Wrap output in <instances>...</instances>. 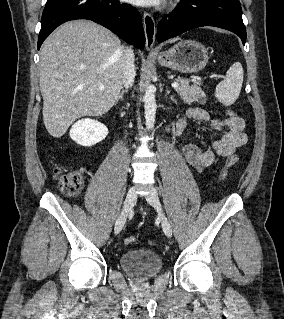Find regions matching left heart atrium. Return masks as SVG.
Listing matches in <instances>:
<instances>
[{"mask_svg":"<svg viewBox=\"0 0 284 319\" xmlns=\"http://www.w3.org/2000/svg\"><path fill=\"white\" fill-rule=\"evenodd\" d=\"M138 6H153L159 4L162 0H126Z\"/></svg>","mask_w":284,"mask_h":319,"instance_id":"39dd6f15","label":"left heart atrium"}]
</instances>
